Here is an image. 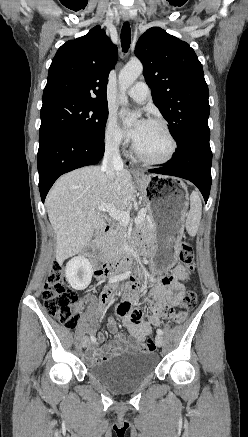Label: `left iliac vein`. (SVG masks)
I'll return each mask as SVG.
<instances>
[{"label":"left iliac vein","instance_id":"left-iliac-vein-1","mask_svg":"<svg viewBox=\"0 0 248 437\" xmlns=\"http://www.w3.org/2000/svg\"><path fill=\"white\" fill-rule=\"evenodd\" d=\"M155 343L158 347H161L163 345V337L161 335H156Z\"/></svg>","mask_w":248,"mask_h":437}]
</instances>
